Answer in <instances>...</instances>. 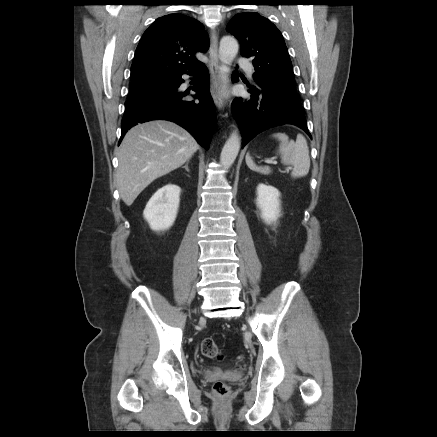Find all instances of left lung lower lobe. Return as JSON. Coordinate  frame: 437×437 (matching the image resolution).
<instances>
[{"label": "left lung lower lobe", "instance_id": "0a47b994", "mask_svg": "<svg viewBox=\"0 0 437 437\" xmlns=\"http://www.w3.org/2000/svg\"><path fill=\"white\" fill-rule=\"evenodd\" d=\"M232 81H238L233 72ZM249 99L236 98L233 115L242 132V146H245L261 131L282 124H293L303 129L309 136L304 109L298 98L258 85L249 88Z\"/></svg>", "mask_w": 437, "mask_h": 437}]
</instances>
